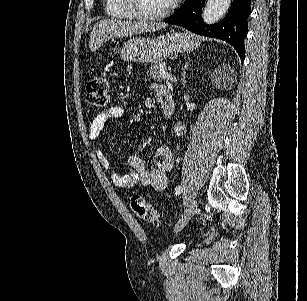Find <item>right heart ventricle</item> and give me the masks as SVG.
Returning <instances> with one entry per match:
<instances>
[{
	"mask_svg": "<svg viewBox=\"0 0 307 301\" xmlns=\"http://www.w3.org/2000/svg\"><path fill=\"white\" fill-rule=\"evenodd\" d=\"M123 0H107V10L103 11L104 17H128V9H120Z\"/></svg>",
	"mask_w": 307,
	"mask_h": 301,
	"instance_id": "1",
	"label": "right heart ventricle"
}]
</instances>
